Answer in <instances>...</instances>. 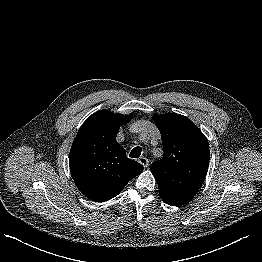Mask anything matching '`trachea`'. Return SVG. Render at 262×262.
Returning <instances> with one entry per match:
<instances>
[{
  "label": "trachea",
  "instance_id": "obj_1",
  "mask_svg": "<svg viewBox=\"0 0 262 262\" xmlns=\"http://www.w3.org/2000/svg\"><path fill=\"white\" fill-rule=\"evenodd\" d=\"M141 152H142L141 147L137 146V147H135V148H133V149L131 150L129 156H130L131 158H139L140 155H141Z\"/></svg>",
  "mask_w": 262,
  "mask_h": 262
}]
</instances>
